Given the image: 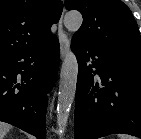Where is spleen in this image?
Here are the masks:
<instances>
[{"mask_svg":"<svg viewBox=\"0 0 141 139\" xmlns=\"http://www.w3.org/2000/svg\"><path fill=\"white\" fill-rule=\"evenodd\" d=\"M119 139H135V138L132 136L121 134V135H119Z\"/></svg>","mask_w":141,"mask_h":139,"instance_id":"obj_1","label":"spleen"}]
</instances>
